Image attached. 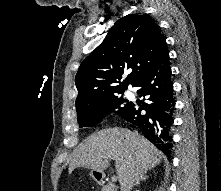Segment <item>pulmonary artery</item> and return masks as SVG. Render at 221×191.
<instances>
[{
  "instance_id": "e3ab8cb5",
  "label": "pulmonary artery",
  "mask_w": 221,
  "mask_h": 191,
  "mask_svg": "<svg viewBox=\"0 0 221 191\" xmlns=\"http://www.w3.org/2000/svg\"><path fill=\"white\" fill-rule=\"evenodd\" d=\"M128 96H129V97H132V96H133V94H132V93H128Z\"/></svg>"
}]
</instances>
